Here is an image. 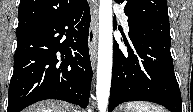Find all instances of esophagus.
<instances>
[{"label": "esophagus", "mask_w": 193, "mask_h": 112, "mask_svg": "<svg viewBox=\"0 0 193 112\" xmlns=\"http://www.w3.org/2000/svg\"><path fill=\"white\" fill-rule=\"evenodd\" d=\"M97 6V3L95 4ZM89 43V53L92 67L95 66L96 54H97V8L95 7L93 10V16L91 20V25L89 29L88 36Z\"/></svg>", "instance_id": "1"}]
</instances>
